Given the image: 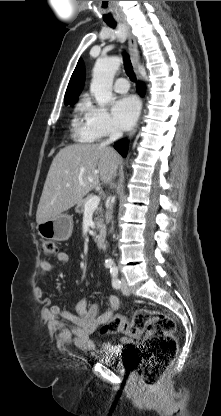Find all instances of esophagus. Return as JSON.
Instances as JSON below:
<instances>
[{
  "label": "esophagus",
  "instance_id": "1",
  "mask_svg": "<svg viewBox=\"0 0 221 416\" xmlns=\"http://www.w3.org/2000/svg\"><path fill=\"white\" fill-rule=\"evenodd\" d=\"M127 31H128V47H129V53L131 56V61H132L134 70L137 76L139 77L138 64H139L140 56H139V51H138L137 40L135 36L132 34L129 26H127ZM136 131H137V127L129 134V138L132 137L136 133Z\"/></svg>",
  "mask_w": 221,
  "mask_h": 416
}]
</instances>
